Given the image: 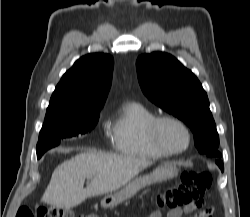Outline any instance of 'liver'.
Returning a JSON list of instances; mask_svg holds the SVG:
<instances>
[{"label":"liver","mask_w":250,"mask_h":217,"mask_svg":"<svg viewBox=\"0 0 250 217\" xmlns=\"http://www.w3.org/2000/svg\"><path fill=\"white\" fill-rule=\"evenodd\" d=\"M149 165L146 159L93 150L77 154L54 170L42 201L57 208H73L89 197L123 188ZM86 178L91 182L84 188Z\"/></svg>","instance_id":"1"}]
</instances>
